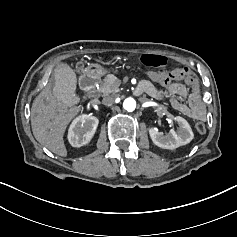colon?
<instances>
[{"label": "colon", "mask_w": 237, "mask_h": 237, "mask_svg": "<svg viewBox=\"0 0 237 237\" xmlns=\"http://www.w3.org/2000/svg\"><path fill=\"white\" fill-rule=\"evenodd\" d=\"M140 61L143 65L151 68H162L167 64L166 57L157 54L142 55ZM77 68L81 71L83 69L82 64L79 63ZM192 76L193 74L188 68H179L170 72L163 80V83L167 84L177 79L191 78ZM195 129L199 134H204L206 132V125L203 122H197L195 124Z\"/></svg>", "instance_id": "colon-1"}]
</instances>
